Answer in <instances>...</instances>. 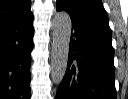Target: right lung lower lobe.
Instances as JSON below:
<instances>
[{"label":"right lung lower lobe","instance_id":"obj_1","mask_svg":"<svg viewBox=\"0 0 128 99\" xmlns=\"http://www.w3.org/2000/svg\"><path fill=\"white\" fill-rule=\"evenodd\" d=\"M33 35L31 11L0 30V99H30Z\"/></svg>","mask_w":128,"mask_h":99}]
</instances>
